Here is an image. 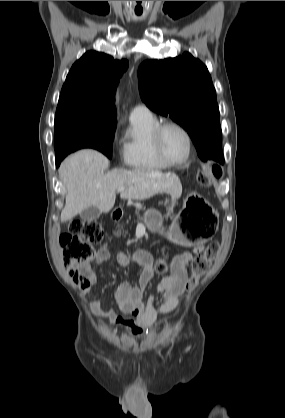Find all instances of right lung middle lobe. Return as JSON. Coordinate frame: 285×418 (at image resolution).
<instances>
[{"label":"right lung middle lobe","mask_w":285,"mask_h":418,"mask_svg":"<svg viewBox=\"0 0 285 418\" xmlns=\"http://www.w3.org/2000/svg\"><path fill=\"white\" fill-rule=\"evenodd\" d=\"M54 125L56 159L82 148H94L112 157L115 117L98 111L61 108L56 110Z\"/></svg>","instance_id":"1"}]
</instances>
